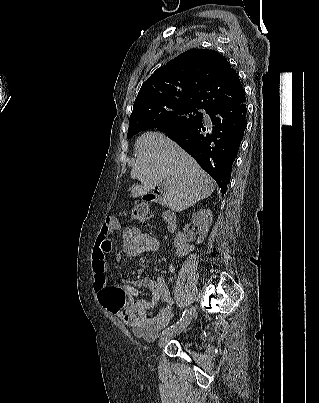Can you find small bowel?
Returning <instances> with one entry per match:
<instances>
[{
    "mask_svg": "<svg viewBox=\"0 0 319 403\" xmlns=\"http://www.w3.org/2000/svg\"><path fill=\"white\" fill-rule=\"evenodd\" d=\"M120 228L116 213L104 214L92 252L94 289L98 293L101 309L108 310L111 315H117L118 319H122V324H127L136 337L151 342L172 318L173 300L169 281L163 276H146L129 281L130 285H126L124 279H113L111 284L107 283L106 256L116 253L113 237ZM126 249L125 243V253ZM116 259L120 260L121 256ZM141 289L149 291L151 298L142 299V296L138 295ZM158 303H163L164 307L153 312L152 309Z\"/></svg>",
    "mask_w": 319,
    "mask_h": 403,
    "instance_id": "c3829d8e",
    "label": "small bowel"
}]
</instances>
